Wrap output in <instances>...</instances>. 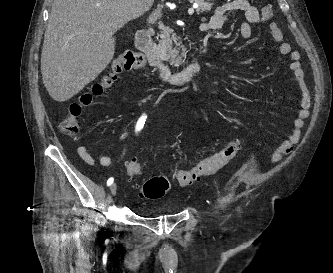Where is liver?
Listing matches in <instances>:
<instances>
[{"instance_id": "6515ba94", "label": "liver", "mask_w": 333, "mask_h": 273, "mask_svg": "<svg viewBox=\"0 0 333 273\" xmlns=\"http://www.w3.org/2000/svg\"><path fill=\"white\" fill-rule=\"evenodd\" d=\"M54 0L41 54L43 84L64 102L79 93L114 57V34L154 0Z\"/></svg>"}]
</instances>
